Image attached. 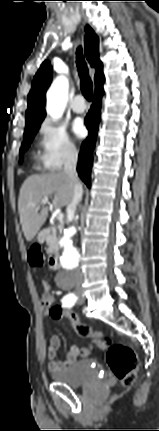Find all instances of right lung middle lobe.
<instances>
[{
  "label": "right lung middle lobe",
  "instance_id": "right-lung-middle-lobe-1",
  "mask_svg": "<svg viewBox=\"0 0 159 431\" xmlns=\"http://www.w3.org/2000/svg\"><path fill=\"white\" fill-rule=\"evenodd\" d=\"M39 125L30 127L25 130L24 132V141L22 143V146L20 148V155H22L29 147L34 135L36 134L37 130L39 129ZM22 162V157L20 156V163Z\"/></svg>",
  "mask_w": 159,
  "mask_h": 431
}]
</instances>
